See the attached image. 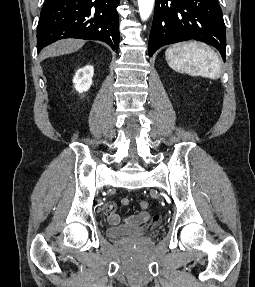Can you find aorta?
I'll return each mask as SVG.
<instances>
[{"label": "aorta", "instance_id": "aorta-1", "mask_svg": "<svg viewBox=\"0 0 255 287\" xmlns=\"http://www.w3.org/2000/svg\"><path fill=\"white\" fill-rule=\"evenodd\" d=\"M155 0H138L139 13L142 20H147L151 15Z\"/></svg>", "mask_w": 255, "mask_h": 287}]
</instances>
